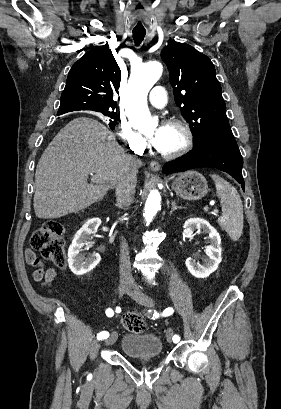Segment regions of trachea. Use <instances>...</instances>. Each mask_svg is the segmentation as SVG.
<instances>
[{"label": "trachea", "instance_id": "3493384b", "mask_svg": "<svg viewBox=\"0 0 281 409\" xmlns=\"http://www.w3.org/2000/svg\"><path fill=\"white\" fill-rule=\"evenodd\" d=\"M145 35H146V32H133V40L137 46L142 43Z\"/></svg>", "mask_w": 281, "mask_h": 409}]
</instances>
